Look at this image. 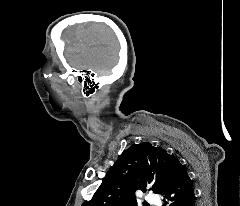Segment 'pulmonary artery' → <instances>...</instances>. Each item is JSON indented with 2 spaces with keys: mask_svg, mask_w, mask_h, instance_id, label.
Returning a JSON list of instances; mask_svg holds the SVG:
<instances>
[{
  "mask_svg": "<svg viewBox=\"0 0 240 206\" xmlns=\"http://www.w3.org/2000/svg\"><path fill=\"white\" fill-rule=\"evenodd\" d=\"M145 200L150 203V204H157L159 202V199L156 195L154 194H148L146 197H145Z\"/></svg>",
  "mask_w": 240,
  "mask_h": 206,
  "instance_id": "pulmonary-artery-1",
  "label": "pulmonary artery"
}]
</instances>
